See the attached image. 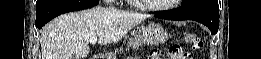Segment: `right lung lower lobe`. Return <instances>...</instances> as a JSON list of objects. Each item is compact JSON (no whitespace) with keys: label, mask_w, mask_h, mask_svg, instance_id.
<instances>
[{"label":"right lung lower lobe","mask_w":261,"mask_h":59,"mask_svg":"<svg viewBox=\"0 0 261 59\" xmlns=\"http://www.w3.org/2000/svg\"><path fill=\"white\" fill-rule=\"evenodd\" d=\"M98 3V0H48L36 9V27L41 29L47 22L61 14L91 8Z\"/></svg>","instance_id":"98d812e1"}]
</instances>
